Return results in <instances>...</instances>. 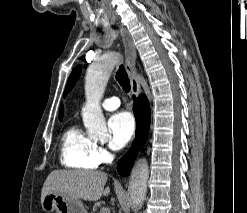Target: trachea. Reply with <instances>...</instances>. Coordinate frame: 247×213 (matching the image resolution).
<instances>
[{
	"label": "trachea",
	"mask_w": 247,
	"mask_h": 213,
	"mask_svg": "<svg viewBox=\"0 0 247 213\" xmlns=\"http://www.w3.org/2000/svg\"><path fill=\"white\" fill-rule=\"evenodd\" d=\"M116 80L125 92L130 91V80L123 65H121L116 72Z\"/></svg>",
	"instance_id": "1"
}]
</instances>
